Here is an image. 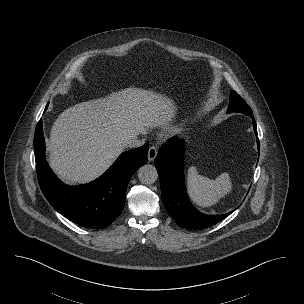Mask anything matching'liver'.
I'll return each instance as SVG.
<instances>
[{
	"label": "liver",
	"mask_w": 304,
	"mask_h": 304,
	"mask_svg": "<svg viewBox=\"0 0 304 304\" xmlns=\"http://www.w3.org/2000/svg\"><path fill=\"white\" fill-rule=\"evenodd\" d=\"M175 113L170 98L134 87L78 103L64 110L51 128L49 165L66 183L90 182L124 151L132 133L166 126Z\"/></svg>",
	"instance_id": "liver-1"
}]
</instances>
